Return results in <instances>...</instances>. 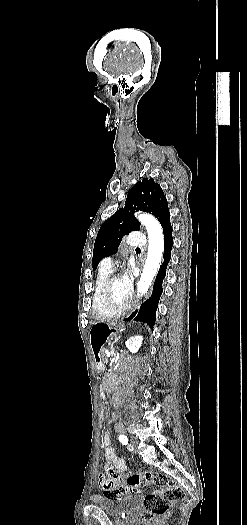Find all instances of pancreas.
<instances>
[{
    "label": "pancreas",
    "mask_w": 247,
    "mask_h": 525,
    "mask_svg": "<svg viewBox=\"0 0 247 525\" xmlns=\"http://www.w3.org/2000/svg\"><path fill=\"white\" fill-rule=\"evenodd\" d=\"M106 353H107V349H102V352H100V355H101V356H100V359H101L102 361L107 360Z\"/></svg>",
    "instance_id": "1"
}]
</instances>
